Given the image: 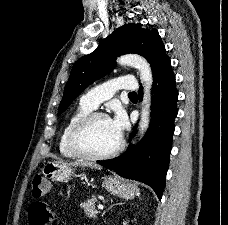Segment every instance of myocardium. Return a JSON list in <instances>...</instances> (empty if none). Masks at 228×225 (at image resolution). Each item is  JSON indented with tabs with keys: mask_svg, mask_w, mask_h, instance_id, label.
<instances>
[{
	"mask_svg": "<svg viewBox=\"0 0 228 225\" xmlns=\"http://www.w3.org/2000/svg\"><path fill=\"white\" fill-rule=\"evenodd\" d=\"M97 119L110 120L108 115H106L105 113L91 112L86 116H84L83 118H81L75 124V126L73 127L70 133V136H69L70 148L74 153H76L81 157L88 158V159H95V160L106 159L117 155L124 148V140L122 138H120L119 144L115 148L103 153L93 152L84 145L83 136L86 133L89 126Z\"/></svg>",
	"mask_w": 228,
	"mask_h": 225,
	"instance_id": "f54148a6",
	"label": "myocardium"
}]
</instances>
